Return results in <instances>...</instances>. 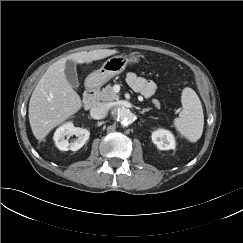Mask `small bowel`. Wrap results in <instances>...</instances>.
Returning a JSON list of instances; mask_svg holds the SVG:
<instances>
[{"mask_svg":"<svg viewBox=\"0 0 243 243\" xmlns=\"http://www.w3.org/2000/svg\"><path fill=\"white\" fill-rule=\"evenodd\" d=\"M126 81L132 89L145 97H151L156 91V84L153 81L147 80L135 73L129 72L126 76Z\"/></svg>","mask_w":243,"mask_h":243,"instance_id":"1","label":"small bowel"}]
</instances>
